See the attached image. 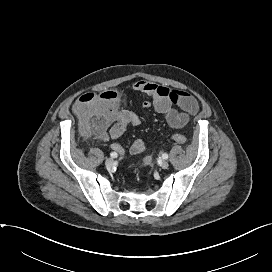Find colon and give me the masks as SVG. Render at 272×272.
<instances>
[{"label":"colon","instance_id":"5ec220e1","mask_svg":"<svg viewBox=\"0 0 272 272\" xmlns=\"http://www.w3.org/2000/svg\"><path fill=\"white\" fill-rule=\"evenodd\" d=\"M117 94L106 91L100 94L87 92L82 94L75 102L73 110L79 117L86 133L102 132L110 122H116L119 115L116 113ZM178 144H185L187 138L181 134L172 136ZM150 159L147 158L146 162Z\"/></svg>","mask_w":272,"mask_h":272}]
</instances>
